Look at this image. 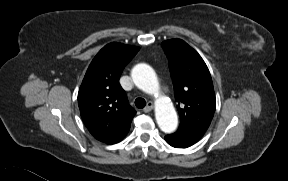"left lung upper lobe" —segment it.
I'll return each mask as SVG.
<instances>
[{
	"mask_svg": "<svg viewBox=\"0 0 288 181\" xmlns=\"http://www.w3.org/2000/svg\"><path fill=\"white\" fill-rule=\"evenodd\" d=\"M169 59L175 99L180 115L178 131L206 132L213 118L216 99L210 72L201 56L186 42H162Z\"/></svg>",
	"mask_w": 288,
	"mask_h": 181,
	"instance_id": "left-lung-upper-lobe-1",
	"label": "left lung upper lobe"
}]
</instances>
